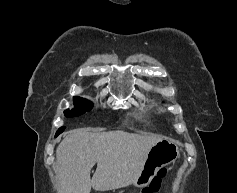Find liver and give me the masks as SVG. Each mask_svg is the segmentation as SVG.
I'll return each instance as SVG.
<instances>
[{
	"instance_id": "obj_1",
	"label": "liver",
	"mask_w": 237,
	"mask_h": 193,
	"mask_svg": "<svg viewBox=\"0 0 237 193\" xmlns=\"http://www.w3.org/2000/svg\"><path fill=\"white\" fill-rule=\"evenodd\" d=\"M159 136L122 130L94 132L78 128L67 133L56 149L57 193L108 191L132 184ZM97 163L96 171L90 172Z\"/></svg>"
}]
</instances>
